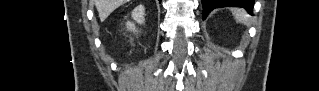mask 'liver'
<instances>
[{"instance_id":"liver-1","label":"liver","mask_w":319,"mask_h":91,"mask_svg":"<svg viewBox=\"0 0 319 91\" xmlns=\"http://www.w3.org/2000/svg\"><path fill=\"white\" fill-rule=\"evenodd\" d=\"M129 0H94L99 18L104 21L116 8Z\"/></svg>"}]
</instances>
